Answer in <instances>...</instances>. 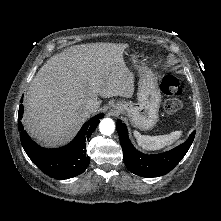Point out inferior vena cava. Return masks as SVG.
Instances as JSON below:
<instances>
[{"mask_svg": "<svg viewBox=\"0 0 221 221\" xmlns=\"http://www.w3.org/2000/svg\"><path fill=\"white\" fill-rule=\"evenodd\" d=\"M98 107H99V102H97V101H90L85 106V112L87 114H91V113L95 112L98 109Z\"/></svg>", "mask_w": 221, "mask_h": 221, "instance_id": "inferior-vena-cava-1", "label": "inferior vena cava"}]
</instances>
